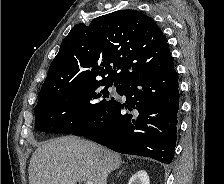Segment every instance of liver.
<instances>
[{"label": "liver", "mask_w": 224, "mask_h": 184, "mask_svg": "<svg viewBox=\"0 0 224 184\" xmlns=\"http://www.w3.org/2000/svg\"><path fill=\"white\" fill-rule=\"evenodd\" d=\"M120 164L119 154L93 142L65 136L46 141L35 150L29 164V184H107L108 175Z\"/></svg>", "instance_id": "obj_1"}]
</instances>
